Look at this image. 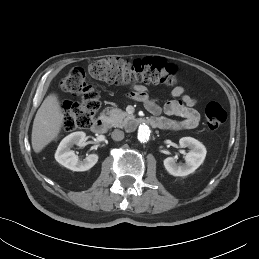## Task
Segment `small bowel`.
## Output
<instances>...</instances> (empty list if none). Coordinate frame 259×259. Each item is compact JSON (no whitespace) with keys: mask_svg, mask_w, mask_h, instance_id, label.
Here are the masks:
<instances>
[{"mask_svg":"<svg viewBox=\"0 0 259 259\" xmlns=\"http://www.w3.org/2000/svg\"><path fill=\"white\" fill-rule=\"evenodd\" d=\"M170 95L171 100L167 101L161 107L148 94L147 89L141 85H135L129 92V97L133 100L141 102L146 110L154 117L160 118L164 122V129H193L198 126L200 122V114L194 108L196 100L188 95L182 86L174 87ZM164 112L167 116H179L181 121L170 120L166 117L160 116Z\"/></svg>","mask_w":259,"mask_h":259,"instance_id":"1","label":"small bowel"}]
</instances>
